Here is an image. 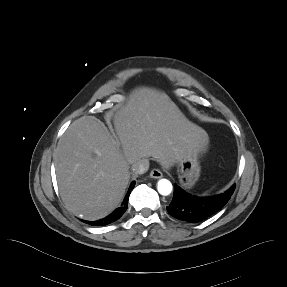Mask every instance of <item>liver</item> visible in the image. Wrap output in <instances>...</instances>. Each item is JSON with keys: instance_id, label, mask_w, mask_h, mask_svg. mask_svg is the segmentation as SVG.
Instances as JSON below:
<instances>
[{"instance_id": "liver-1", "label": "liver", "mask_w": 287, "mask_h": 287, "mask_svg": "<svg viewBox=\"0 0 287 287\" xmlns=\"http://www.w3.org/2000/svg\"><path fill=\"white\" fill-rule=\"evenodd\" d=\"M116 134L93 116L75 120L58 142L54 163L61 198L85 220L111 213L127 188L130 165L153 157L173 166L190 146L204 150L205 130L191 123L164 93L132 92L114 115Z\"/></svg>"}]
</instances>
